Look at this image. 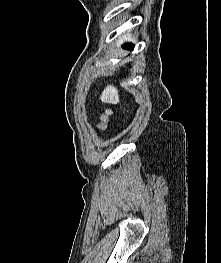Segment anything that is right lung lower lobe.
Segmentation results:
<instances>
[{
    "instance_id": "obj_1",
    "label": "right lung lower lobe",
    "mask_w": 221,
    "mask_h": 263,
    "mask_svg": "<svg viewBox=\"0 0 221 263\" xmlns=\"http://www.w3.org/2000/svg\"><path fill=\"white\" fill-rule=\"evenodd\" d=\"M126 47H127L128 49H133V45H131V44L126 45Z\"/></svg>"
}]
</instances>
